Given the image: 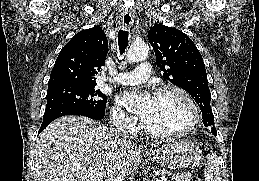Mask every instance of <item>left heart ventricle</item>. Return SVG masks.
<instances>
[{
	"instance_id": "b2bd125f",
	"label": "left heart ventricle",
	"mask_w": 259,
	"mask_h": 181,
	"mask_svg": "<svg viewBox=\"0 0 259 181\" xmlns=\"http://www.w3.org/2000/svg\"><path fill=\"white\" fill-rule=\"evenodd\" d=\"M143 120L156 130H175L189 122L190 110L178 94L166 92L153 97L152 107Z\"/></svg>"
}]
</instances>
